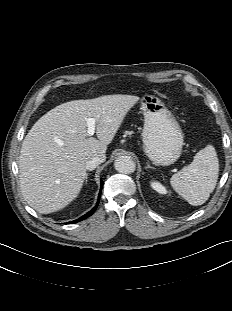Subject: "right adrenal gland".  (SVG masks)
Segmentation results:
<instances>
[{
	"mask_svg": "<svg viewBox=\"0 0 232 311\" xmlns=\"http://www.w3.org/2000/svg\"><path fill=\"white\" fill-rule=\"evenodd\" d=\"M87 179H88V174L86 175V181H85L86 183H87V181H88Z\"/></svg>",
	"mask_w": 232,
	"mask_h": 311,
	"instance_id": "1",
	"label": "right adrenal gland"
}]
</instances>
